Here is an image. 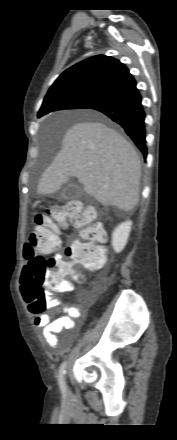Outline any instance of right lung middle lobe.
<instances>
[{
  "label": "right lung middle lobe",
  "instance_id": "dd1d6c3e",
  "mask_svg": "<svg viewBox=\"0 0 177 440\" xmlns=\"http://www.w3.org/2000/svg\"><path fill=\"white\" fill-rule=\"evenodd\" d=\"M96 99H98L97 96L86 93L60 92L44 99L38 117L57 110L86 108Z\"/></svg>",
  "mask_w": 177,
  "mask_h": 440
}]
</instances>
